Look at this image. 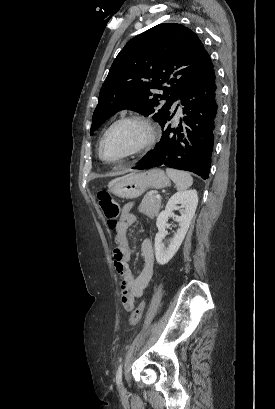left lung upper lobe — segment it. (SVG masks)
<instances>
[{"mask_svg": "<svg viewBox=\"0 0 275 409\" xmlns=\"http://www.w3.org/2000/svg\"><path fill=\"white\" fill-rule=\"evenodd\" d=\"M212 68L198 36L181 24H159L141 33L114 60L100 90L91 133L123 109L152 114L161 124L181 92Z\"/></svg>", "mask_w": 275, "mask_h": 409, "instance_id": "left-lung-upper-lobe-1", "label": "left lung upper lobe"}]
</instances>
